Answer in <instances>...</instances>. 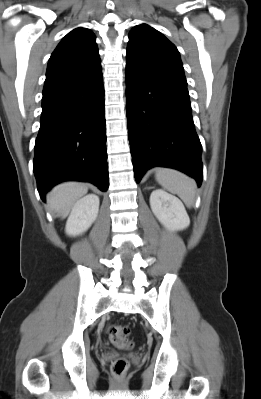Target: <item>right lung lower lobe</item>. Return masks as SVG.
<instances>
[{"label": "right lung lower lobe", "mask_w": 261, "mask_h": 399, "mask_svg": "<svg viewBox=\"0 0 261 399\" xmlns=\"http://www.w3.org/2000/svg\"><path fill=\"white\" fill-rule=\"evenodd\" d=\"M33 170L40 197L64 180L108 182L102 74L43 95Z\"/></svg>", "instance_id": "right-lung-lower-lobe-1"}]
</instances>
